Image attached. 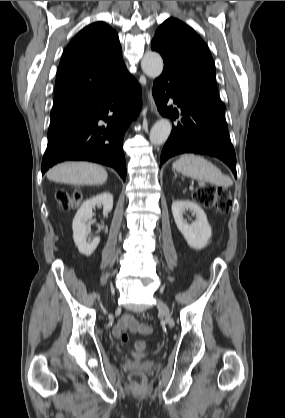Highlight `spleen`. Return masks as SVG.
<instances>
[{"label":"spleen","mask_w":285,"mask_h":418,"mask_svg":"<svg viewBox=\"0 0 285 418\" xmlns=\"http://www.w3.org/2000/svg\"><path fill=\"white\" fill-rule=\"evenodd\" d=\"M173 170L193 179L222 187L232 185V179L207 159L194 154H184L172 165Z\"/></svg>","instance_id":"3e777b00"}]
</instances>
